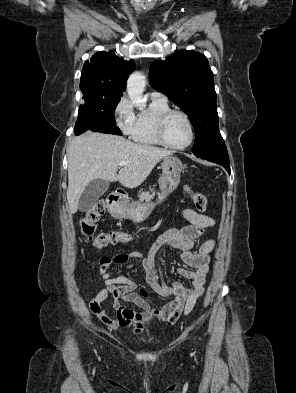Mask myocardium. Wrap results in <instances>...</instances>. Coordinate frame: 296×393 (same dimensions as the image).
Here are the masks:
<instances>
[{"instance_id": "obj_1", "label": "myocardium", "mask_w": 296, "mask_h": 393, "mask_svg": "<svg viewBox=\"0 0 296 393\" xmlns=\"http://www.w3.org/2000/svg\"><path fill=\"white\" fill-rule=\"evenodd\" d=\"M174 115H179V116L183 117L185 119V121L187 122L189 130H190V138H189L188 142L184 145H181V146L173 145V144L169 143L168 140L166 139V133H165L166 132V125H167L169 119ZM157 137H158L160 143L169 149H172V150L187 149L188 147H190L192 145V143L194 142V139H195V129H194L193 122H192L191 118L189 117V115L187 113H185L184 111L177 110V109H170V110L166 111L165 113H163L158 120Z\"/></svg>"}]
</instances>
